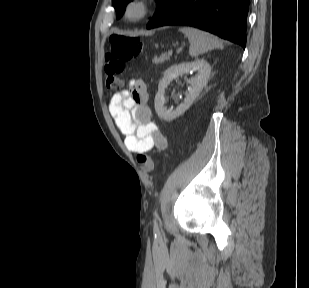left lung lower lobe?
<instances>
[{
  "instance_id": "left-lung-lower-lobe-1",
  "label": "left lung lower lobe",
  "mask_w": 309,
  "mask_h": 288,
  "mask_svg": "<svg viewBox=\"0 0 309 288\" xmlns=\"http://www.w3.org/2000/svg\"><path fill=\"white\" fill-rule=\"evenodd\" d=\"M250 0H172L147 24L188 25L246 46V20Z\"/></svg>"
}]
</instances>
